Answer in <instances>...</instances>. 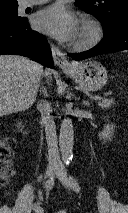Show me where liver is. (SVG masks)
<instances>
[{
	"label": "liver",
	"mask_w": 128,
	"mask_h": 213,
	"mask_svg": "<svg viewBox=\"0 0 128 213\" xmlns=\"http://www.w3.org/2000/svg\"><path fill=\"white\" fill-rule=\"evenodd\" d=\"M43 67L25 57L15 55L0 56V117L24 111L34 103ZM45 76L51 81V71Z\"/></svg>",
	"instance_id": "obj_1"
}]
</instances>
